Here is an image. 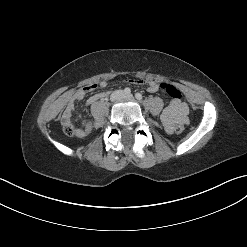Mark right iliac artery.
I'll return each mask as SVG.
<instances>
[{
	"mask_svg": "<svg viewBox=\"0 0 247 247\" xmlns=\"http://www.w3.org/2000/svg\"><path fill=\"white\" fill-rule=\"evenodd\" d=\"M124 93H125V94H130V93H131L130 88H125V89H124Z\"/></svg>",
	"mask_w": 247,
	"mask_h": 247,
	"instance_id": "obj_1",
	"label": "right iliac artery"
}]
</instances>
